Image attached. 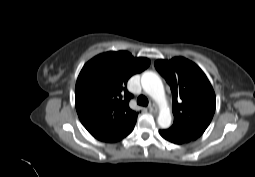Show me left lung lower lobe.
I'll return each instance as SVG.
<instances>
[{
    "label": "left lung lower lobe",
    "mask_w": 255,
    "mask_h": 177,
    "mask_svg": "<svg viewBox=\"0 0 255 177\" xmlns=\"http://www.w3.org/2000/svg\"><path fill=\"white\" fill-rule=\"evenodd\" d=\"M159 133H160V135H161L164 139H166V140H168V141H170V142H172V143H175V144H183V143H186L185 140H183V139H181V138H179V137H177V136H175V135L169 133L167 130H159Z\"/></svg>",
    "instance_id": "left-lung-lower-lobe-1"
}]
</instances>
